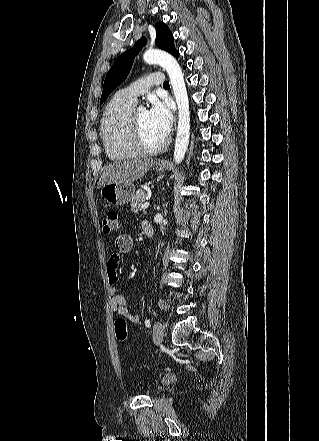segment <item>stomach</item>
<instances>
[{"label": "stomach", "instance_id": "stomach-1", "mask_svg": "<svg viewBox=\"0 0 319 441\" xmlns=\"http://www.w3.org/2000/svg\"><path fill=\"white\" fill-rule=\"evenodd\" d=\"M155 169L161 173L165 168L156 165ZM100 195L109 205H125L134 197L135 186L132 182L108 183L101 187Z\"/></svg>", "mask_w": 319, "mask_h": 441}]
</instances>
